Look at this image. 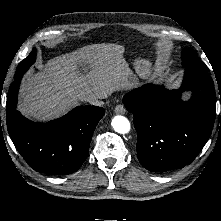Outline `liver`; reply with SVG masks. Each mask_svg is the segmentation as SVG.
<instances>
[{"instance_id": "6515ba94", "label": "liver", "mask_w": 221, "mask_h": 221, "mask_svg": "<svg viewBox=\"0 0 221 221\" xmlns=\"http://www.w3.org/2000/svg\"><path fill=\"white\" fill-rule=\"evenodd\" d=\"M117 44H92L50 59L28 74L20 89L19 111L37 121L57 118L94 95L99 99L136 86L137 77Z\"/></svg>"}]
</instances>
